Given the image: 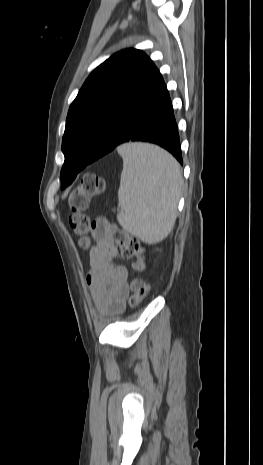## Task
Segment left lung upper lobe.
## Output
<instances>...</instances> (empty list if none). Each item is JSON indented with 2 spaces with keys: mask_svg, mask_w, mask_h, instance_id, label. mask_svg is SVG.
Masks as SVG:
<instances>
[{
  "mask_svg": "<svg viewBox=\"0 0 263 465\" xmlns=\"http://www.w3.org/2000/svg\"><path fill=\"white\" fill-rule=\"evenodd\" d=\"M153 67L141 50L131 48L112 55L89 75L68 111L62 139L65 158L87 160L94 154L118 110L136 96ZM60 176L64 188L68 182Z\"/></svg>",
  "mask_w": 263,
  "mask_h": 465,
  "instance_id": "left-lung-upper-lobe-1",
  "label": "left lung upper lobe"
}]
</instances>
